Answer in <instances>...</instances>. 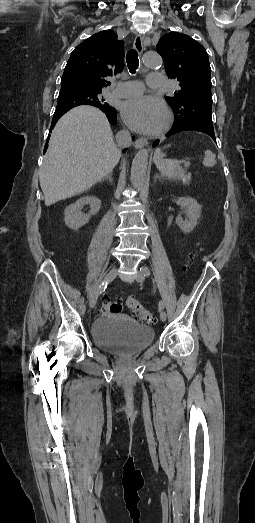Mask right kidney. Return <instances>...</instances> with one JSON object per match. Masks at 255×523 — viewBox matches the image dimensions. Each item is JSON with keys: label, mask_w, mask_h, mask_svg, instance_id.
I'll return each mask as SVG.
<instances>
[{"label": "right kidney", "mask_w": 255, "mask_h": 523, "mask_svg": "<svg viewBox=\"0 0 255 523\" xmlns=\"http://www.w3.org/2000/svg\"><path fill=\"white\" fill-rule=\"evenodd\" d=\"M85 204H89V206H91L89 214H82V212H80L81 208H83ZM100 206L101 202L98 200V198H95V196H85V198H79L75 204H70V206H67L64 212V222L66 226H68L70 230H78V228H82L84 224L89 222L93 214H97V212H99Z\"/></svg>", "instance_id": "right-kidney-1"}]
</instances>
